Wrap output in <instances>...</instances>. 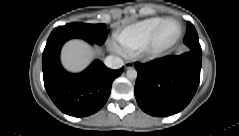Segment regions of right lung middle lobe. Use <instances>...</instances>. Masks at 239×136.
<instances>
[{
    "label": "right lung middle lobe",
    "instance_id": "dd1d6c3e",
    "mask_svg": "<svg viewBox=\"0 0 239 136\" xmlns=\"http://www.w3.org/2000/svg\"><path fill=\"white\" fill-rule=\"evenodd\" d=\"M55 31L62 32L63 35L69 38H83L89 42L103 44L106 40L107 29L105 24H84V23H70L62 27L55 28Z\"/></svg>",
    "mask_w": 239,
    "mask_h": 136
}]
</instances>
